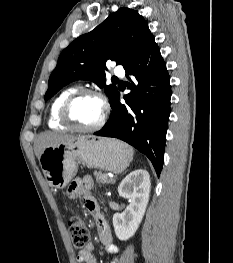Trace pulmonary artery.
Here are the masks:
<instances>
[{"mask_svg":"<svg viewBox=\"0 0 233 263\" xmlns=\"http://www.w3.org/2000/svg\"><path fill=\"white\" fill-rule=\"evenodd\" d=\"M114 74L119 77H123L125 75L124 68L122 66H116L114 69Z\"/></svg>","mask_w":233,"mask_h":263,"instance_id":"obj_1","label":"pulmonary artery"}]
</instances>
